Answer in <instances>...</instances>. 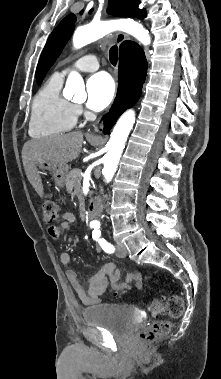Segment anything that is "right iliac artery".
<instances>
[{
  "instance_id": "1",
  "label": "right iliac artery",
  "mask_w": 221,
  "mask_h": 379,
  "mask_svg": "<svg viewBox=\"0 0 221 379\" xmlns=\"http://www.w3.org/2000/svg\"><path fill=\"white\" fill-rule=\"evenodd\" d=\"M90 227L96 229L97 226L96 224H90Z\"/></svg>"
}]
</instances>
